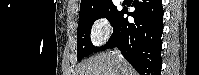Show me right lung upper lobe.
<instances>
[{
  "instance_id": "1",
  "label": "right lung upper lobe",
  "mask_w": 199,
  "mask_h": 75,
  "mask_svg": "<svg viewBox=\"0 0 199 75\" xmlns=\"http://www.w3.org/2000/svg\"><path fill=\"white\" fill-rule=\"evenodd\" d=\"M111 0H81L79 15L85 14Z\"/></svg>"
}]
</instances>
